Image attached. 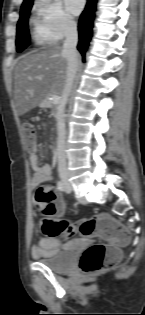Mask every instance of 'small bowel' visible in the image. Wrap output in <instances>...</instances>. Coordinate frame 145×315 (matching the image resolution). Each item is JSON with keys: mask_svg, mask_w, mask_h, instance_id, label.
Wrapping results in <instances>:
<instances>
[{"mask_svg": "<svg viewBox=\"0 0 145 315\" xmlns=\"http://www.w3.org/2000/svg\"><path fill=\"white\" fill-rule=\"evenodd\" d=\"M29 162L34 171L31 179V184L33 186H37L38 184L51 179V166L49 164L41 165L36 153L32 152L30 154ZM57 236L58 235H49L48 237L41 239L37 245H34L31 250L33 258H48L58 252L60 243Z\"/></svg>", "mask_w": 145, "mask_h": 315, "instance_id": "small-bowel-1", "label": "small bowel"}]
</instances>
